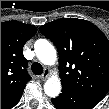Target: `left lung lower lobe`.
Returning <instances> with one entry per match:
<instances>
[{"instance_id":"1","label":"left lung lower lobe","mask_w":109,"mask_h":109,"mask_svg":"<svg viewBox=\"0 0 109 109\" xmlns=\"http://www.w3.org/2000/svg\"><path fill=\"white\" fill-rule=\"evenodd\" d=\"M100 101L66 87H62V93L52 99L57 109H92Z\"/></svg>"}]
</instances>
